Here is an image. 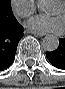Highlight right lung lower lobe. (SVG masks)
<instances>
[{
  "label": "right lung lower lobe",
  "mask_w": 65,
  "mask_h": 89,
  "mask_svg": "<svg viewBox=\"0 0 65 89\" xmlns=\"http://www.w3.org/2000/svg\"><path fill=\"white\" fill-rule=\"evenodd\" d=\"M23 30L14 15L0 12V71L12 64Z\"/></svg>",
  "instance_id": "98d812e1"
}]
</instances>
